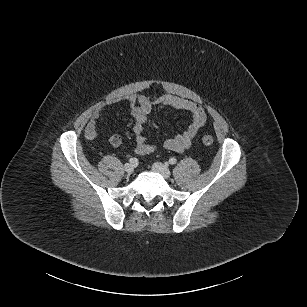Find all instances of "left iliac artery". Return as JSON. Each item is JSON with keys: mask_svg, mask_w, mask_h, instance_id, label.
<instances>
[{"mask_svg": "<svg viewBox=\"0 0 307 307\" xmlns=\"http://www.w3.org/2000/svg\"><path fill=\"white\" fill-rule=\"evenodd\" d=\"M176 162H177V160H176L174 157H172V158L169 159V163H170L171 165L176 164Z\"/></svg>", "mask_w": 307, "mask_h": 307, "instance_id": "1", "label": "left iliac artery"}]
</instances>
